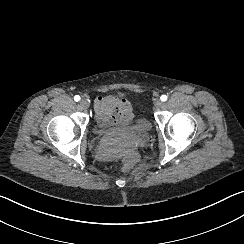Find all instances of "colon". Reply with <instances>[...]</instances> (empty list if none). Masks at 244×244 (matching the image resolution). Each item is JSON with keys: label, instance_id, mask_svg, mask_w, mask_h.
I'll return each mask as SVG.
<instances>
[{"label": "colon", "instance_id": "colon-1", "mask_svg": "<svg viewBox=\"0 0 244 244\" xmlns=\"http://www.w3.org/2000/svg\"><path fill=\"white\" fill-rule=\"evenodd\" d=\"M121 168L124 171H131L134 168V162L131 159H124L121 162Z\"/></svg>", "mask_w": 244, "mask_h": 244}]
</instances>
